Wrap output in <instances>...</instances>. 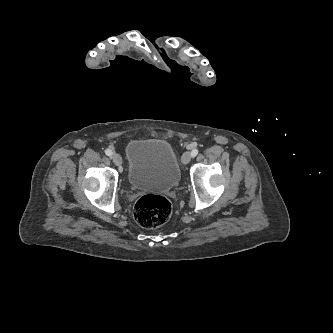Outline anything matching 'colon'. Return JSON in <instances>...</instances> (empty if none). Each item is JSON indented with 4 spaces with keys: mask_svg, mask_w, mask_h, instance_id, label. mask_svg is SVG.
<instances>
[{
    "mask_svg": "<svg viewBox=\"0 0 333 333\" xmlns=\"http://www.w3.org/2000/svg\"><path fill=\"white\" fill-rule=\"evenodd\" d=\"M171 213L170 202L161 195L146 194L139 198L134 210L137 223L144 228H156L163 225Z\"/></svg>",
    "mask_w": 333,
    "mask_h": 333,
    "instance_id": "colon-1",
    "label": "colon"
}]
</instances>
